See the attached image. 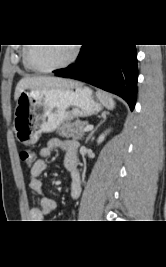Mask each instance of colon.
<instances>
[{"mask_svg":"<svg viewBox=\"0 0 166 267\" xmlns=\"http://www.w3.org/2000/svg\"><path fill=\"white\" fill-rule=\"evenodd\" d=\"M20 158L28 166H31L35 162V153L32 149L24 148L20 151Z\"/></svg>","mask_w":166,"mask_h":267,"instance_id":"1","label":"colon"}]
</instances>
